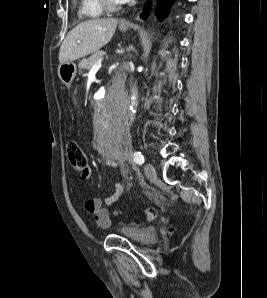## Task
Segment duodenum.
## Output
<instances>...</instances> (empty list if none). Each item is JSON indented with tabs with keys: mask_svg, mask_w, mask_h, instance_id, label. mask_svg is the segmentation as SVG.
<instances>
[{
	"mask_svg": "<svg viewBox=\"0 0 267 298\" xmlns=\"http://www.w3.org/2000/svg\"><path fill=\"white\" fill-rule=\"evenodd\" d=\"M93 103L91 104V115H99V112H103V105H108V100L106 98H93Z\"/></svg>",
	"mask_w": 267,
	"mask_h": 298,
	"instance_id": "obj_1",
	"label": "duodenum"
}]
</instances>
